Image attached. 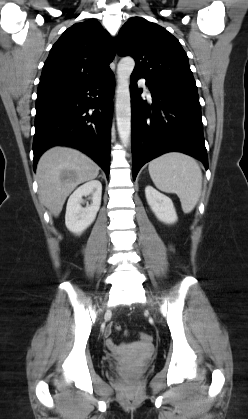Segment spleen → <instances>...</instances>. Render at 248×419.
Segmentation results:
<instances>
[{
    "label": "spleen",
    "mask_w": 248,
    "mask_h": 419,
    "mask_svg": "<svg viewBox=\"0 0 248 419\" xmlns=\"http://www.w3.org/2000/svg\"><path fill=\"white\" fill-rule=\"evenodd\" d=\"M148 170L159 190L177 194L184 213L194 209L202 190V172L194 158L170 152L152 160Z\"/></svg>",
    "instance_id": "spleen-1"
}]
</instances>
